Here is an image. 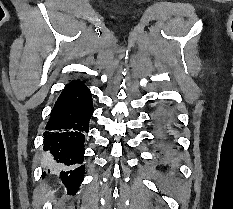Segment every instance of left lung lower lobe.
I'll use <instances>...</instances> for the list:
<instances>
[{"label":"left lung lower lobe","instance_id":"1","mask_svg":"<svg viewBox=\"0 0 233 209\" xmlns=\"http://www.w3.org/2000/svg\"><path fill=\"white\" fill-rule=\"evenodd\" d=\"M162 155H163V158H164L165 161H166V160L168 159V157H169V153H167V152L162 153Z\"/></svg>","mask_w":233,"mask_h":209}]
</instances>
